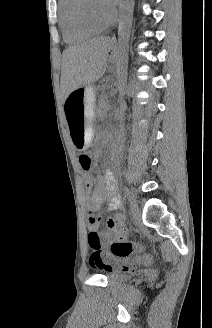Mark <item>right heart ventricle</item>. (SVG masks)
Masks as SVG:
<instances>
[{"label":"right heart ventricle","mask_w":212,"mask_h":328,"mask_svg":"<svg viewBox=\"0 0 212 328\" xmlns=\"http://www.w3.org/2000/svg\"><path fill=\"white\" fill-rule=\"evenodd\" d=\"M80 3L81 0H59L60 25L68 43L84 41L101 31L82 22L79 17Z\"/></svg>","instance_id":"e07e8e85"}]
</instances>
